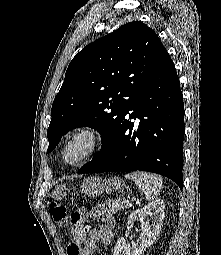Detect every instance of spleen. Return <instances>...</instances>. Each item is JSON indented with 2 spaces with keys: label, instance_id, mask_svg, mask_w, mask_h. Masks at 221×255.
Segmentation results:
<instances>
[{
  "label": "spleen",
  "instance_id": "obj_1",
  "mask_svg": "<svg viewBox=\"0 0 221 255\" xmlns=\"http://www.w3.org/2000/svg\"><path fill=\"white\" fill-rule=\"evenodd\" d=\"M133 180L144 192L148 201L153 200L162 187V177L148 172H133L125 175Z\"/></svg>",
  "mask_w": 221,
  "mask_h": 255
}]
</instances>
